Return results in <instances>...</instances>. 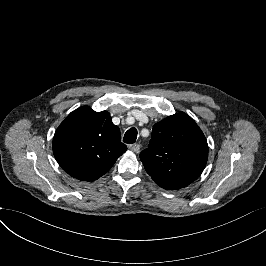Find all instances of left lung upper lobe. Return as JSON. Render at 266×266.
Listing matches in <instances>:
<instances>
[{"label":"left lung upper lobe","mask_w":266,"mask_h":266,"mask_svg":"<svg viewBox=\"0 0 266 266\" xmlns=\"http://www.w3.org/2000/svg\"><path fill=\"white\" fill-rule=\"evenodd\" d=\"M208 144L196 122L184 112L153 126L150 144L140 159L162 188L175 190L192 183L204 170Z\"/></svg>","instance_id":"left-lung-upper-lobe-1"}]
</instances>
